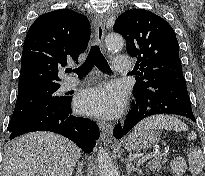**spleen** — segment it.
Returning <instances> with one entry per match:
<instances>
[{
  "mask_svg": "<svg viewBox=\"0 0 205 176\" xmlns=\"http://www.w3.org/2000/svg\"><path fill=\"white\" fill-rule=\"evenodd\" d=\"M166 129L173 131H188V126L173 116L168 115H156L141 121L135 130L141 129ZM197 135L195 132H190L188 134V140L196 139ZM189 170L193 175H198L202 172L205 162L203 158L202 151L200 149H195L191 151L188 155Z\"/></svg>",
  "mask_w": 205,
  "mask_h": 176,
  "instance_id": "obj_1",
  "label": "spleen"
}]
</instances>
